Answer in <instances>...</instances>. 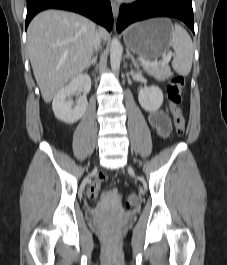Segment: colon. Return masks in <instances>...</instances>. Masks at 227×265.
I'll list each match as a JSON object with an SVG mask.
<instances>
[{
	"mask_svg": "<svg viewBox=\"0 0 227 265\" xmlns=\"http://www.w3.org/2000/svg\"><path fill=\"white\" fill-rule=\"evenodd\" d=\"M185 86V79L183 76H173L169 80L167 87L168 104L173 123L177 135L182 136L185 133V118L181 109L182 94ZM108 180V177L104 173H100L96 180L91 183L88 189L89 198L96 201L99 197L101 185ZM139 202V198L136 194H131L125 201L127 208L136 206Z\"/></svg>",
	"mask_w": 227,
	"mask_h": 265,
	"instance_id": "5ec220e1",
	"label": "colon"
}]
</instances>
